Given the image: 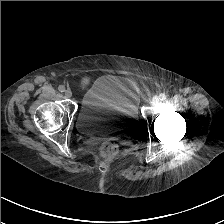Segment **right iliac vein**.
<instances>
[{"mask_svg": "<svg viewBox=\"0 0 224 224\" xmlns=\"http://www.w3.org/2000/svg\"><path fill=\"white\" fill-rule=\"evenodd\" d=\"M64 95H65L66 98H70V97H72V91L69 90V89H67V90L64 92Z\"/></svg>", "mask_w": 224, "mask_h": 224, "instance_id": "63e3f726", "label": "right iliac vein"}]
</instances>
